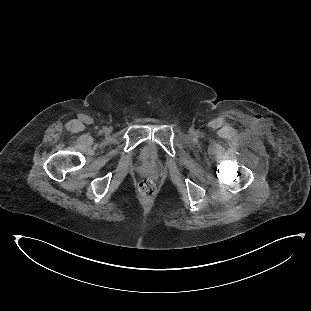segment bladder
Returning a JSON list of instances; mask_svg holds the SVG:
<instances>
[{
  "label": "bladder",
  "mask_w": 311,
  "mask_h": 311,
  "mask_svg": "<svg viewBox=\"0 0 311 311\" xmlns=\"http://www.w3.org/2000/svg\"><path fill=\"white\" fill-rule=\"evenodd\" d=\"M158 148L153 140L143 142L138 149V158L143 166H153L157 162Z\"/></svg>",
  "instance_id": "31cf9c89"
}]
</instances>
